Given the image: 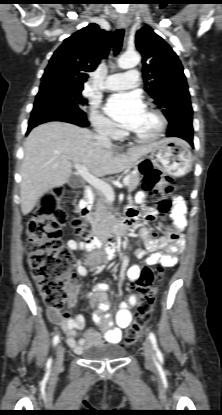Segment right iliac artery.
Instances as JSON below:
<instances>
[{"label":"right iliac artery","instance_id":"obj_1","mask_svg":"<svg viewBox=\"0 0 222 415\" xmlns=\"http://www.w3.org/2000/svg\"><path fill=\"white\" fill-rule=\"evenodd\" d=\"M58 342H59V336H58V335H56V336L53 338V345H54V346H56V345L58 344ZM51 364H52V359H51V358H49V359H48V361H47V367L49 368V367L51 366Z\"/></svg>","mask_w":222,"mask_h":415}]
</instances>
